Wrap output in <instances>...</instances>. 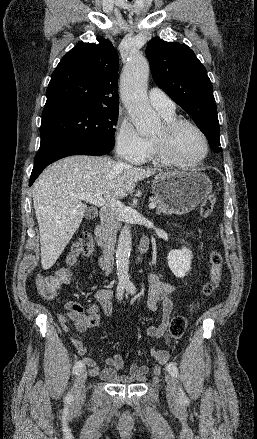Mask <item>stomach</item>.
<instances>
[{
	"label": "stomach",
	"mask_w": 257,
	"mask_h": 439,
	"mask_svg": "<svg viewBox=\"0 0 257 439\" xmlns=\"http://www.w3.org/2000/svg\"><path fill=\"white\" fill-rule=\"evenodd\" d=\"M211 191V180L204 173L194 170L161 173L152 183L155 196L177 215L193 211Z\"/></svg>",
	"instance_id": "stomach-1"
}]
</instances>
